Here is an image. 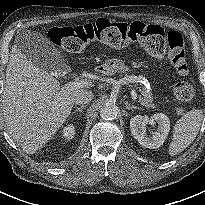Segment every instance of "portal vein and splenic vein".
Masks as SVG:
<instances>
[{
	"label": "portal vein and splenic vein",
	"instance_id": "portal-vein-and-splenic-vein-1",
	"mask_svg": "<svg viewBox=\"0 0 205 205\" xmlns=\"http://www.w3.org/2000/svg\"><path fill=\"white\" fill-rule=\"evenodd\" d=\"M89 84L90 83L87 81H74V82H68V83L64 84L63 88L66 91H72V90L81 88L83 86H88ZM131 96H132L133 100H136V98H137L136 93H132Z\"/></svg>",
	"mask_w": 205,
	"mask_h": 205
}]
</instances>
